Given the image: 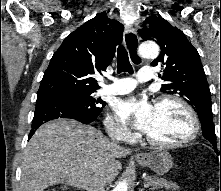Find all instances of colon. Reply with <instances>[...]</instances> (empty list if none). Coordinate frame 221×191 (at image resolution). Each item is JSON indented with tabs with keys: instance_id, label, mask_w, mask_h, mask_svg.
Segmentation results:
<instances>
[{
	"instance_id": "1",
	"label": "colon",
	"mask_w": 221,
	"mask_h": 191,
	"mask_svg": "<svg viewBox=\"0 0 221 191\" xmlns=\"http://www.w3.org/2000/svg\"><path fill=\"white\" fill-rule=\"evenodd\" d=\"M47 191H55V190H53V189H49V190H47ZM207 191H214V190L209 189V190H207Z\"/></svg>"
}]
</instances>
